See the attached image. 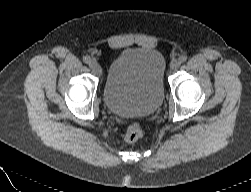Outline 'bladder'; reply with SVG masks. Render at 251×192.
Returning <instances> with one entry per match:
<instances>
[{
	"label": "bladder",
	"mask_w": 251,
	"mask_h": 192,
	"mask_svg": "<svg viewBox=\"0 0 251 192\" xmlns=\"http://www.w3.org/2000/svg\"><path fill=\"white\" fill-rule=\"evenodd\" d=\"M166 62L151 48H127L112 61L103 100L118 116H146L156 112L164 98Z\"/></svg>",
	"instance_id": "bladder-1"
}]
</instances>
